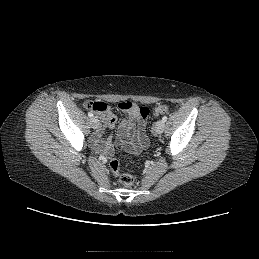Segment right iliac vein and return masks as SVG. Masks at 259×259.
Here are the masks:
<instances>
[{"mask_svg":"<svg viewBox=\"0 0 259 259\" xmlns=\"http://www.w3.org/2000/svg\"><path fill=\"white\" fill-rule=\"evenodd\" d=\"M90 122H91V126H92L93 129L98 128L99 121H98V119L96 117H93Z\"/></svg>","mask_w":259,"mask_h":259,"instance_id":"63e3f726","label":"right iliac vein"}]
</instances>
